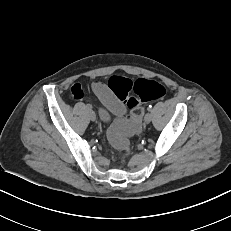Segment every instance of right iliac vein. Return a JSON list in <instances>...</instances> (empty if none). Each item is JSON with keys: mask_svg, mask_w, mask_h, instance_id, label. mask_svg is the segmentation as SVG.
<instances>
[{"mask_svg": "<svg viewBox=\"0 0 231 231\" xmlns=\"http://www.w3.org/2000/svg\"><path fill=\"white\" fill-rule=\"evenodd\" d=\"M89 116H90V119H91L92 121H95V120H96V115H95V112H94V111L90 110Z\"/></svg>", "mask_w": 231, "mask_h": 231, "instance_id": "right-iliac-vein-1", "label": "right iliac vein"}]
</instances>
